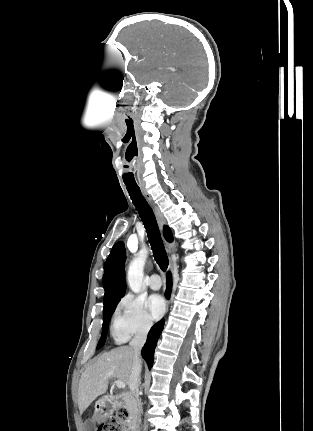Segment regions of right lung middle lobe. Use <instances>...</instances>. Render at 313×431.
<instances>
[{
    "label": "right lung middle lobe",
    "instance_id": "dd1d6c3e",
    "mask_svg": "<svg viewBox=\"0 0 313 431\" xmlns=\"http://www.w3.org/2000/svg\"><path fill=\"white\" fill-rule=\"evenodd\" d=\"M119 301L120 300L115 301V302H113V303H111L109 305H105L104 306L102 335H101V338H100V340L98 342L97 349L101 348L104 345V343H105L106 335H107V330H108V324L110 322L111 315L113 314V312H114V310H115V308H116V306H117V304H118Z\"/></svg>",
    "mask_w": 313,
    "mask_h": 431
}]
</instances>
